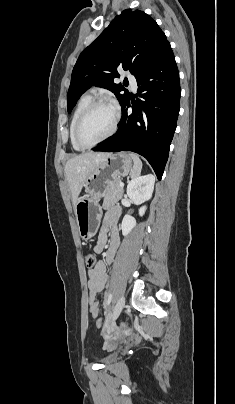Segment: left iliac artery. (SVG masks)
Wrapping results in <instances>:
<instances>
[{
  "mask_svg": "<svg viewBox=\"0 0 235 404\" xmlns=\"http://www.w3.org/2000/svg\"><path fill=\"white\" fill-rule=\"evenodd\" d=\"M111 300H112V293L110 292L108 295V298L106 300V306L107 308H109L110 304H111Z\"/></svg>",
  "mask_w": 235,
  "mask_h": 404,
  "instance_id": "obj_1",
  "label": "left iliac artery"
}]
</instances>
